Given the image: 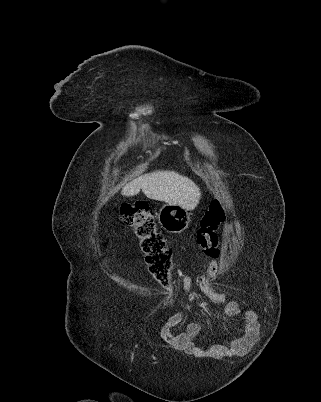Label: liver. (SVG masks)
<instances>
[{
	"instance_id": "6515ba94",
	"label": "liver",
	"mask_w": 321,
	"mask_h": 402,
	"mask_svg": "<svg viewBox=\"0 0 321 402\" xmlns=\"http://www.w3.org/2000/svg\"><path fill=\"white\" fill-rule=\"evenodd\" d=\"M140 190L149 198L176 204L185 210H193L199 203L201 193L188 177L174 171H155L139 176L126 184L122 195L134 196Z\"/></svg>"
}]
</instances>
